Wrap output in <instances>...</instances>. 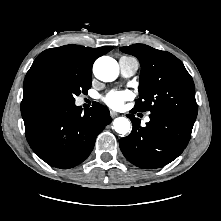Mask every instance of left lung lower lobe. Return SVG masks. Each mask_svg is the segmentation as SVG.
<instances>
[{"label":"left lung lower lobe","instance_id":"left-lung-lower-lobe-1","mask_svg":"<svg viewBox=\"0 0 221 221\" xmlns=\"http://www.w3.org/2000/svg\"><path fill=\"white\" fill-rule=\"evenodd\" d=\"M133 124L130 135L120 140V149L132 164L144 168H160L176 159L186 148L194 120L168 113H151L150 122L128 114Z\"/></svg>","mask_w":221,"mask_h":221}]
</instances>
